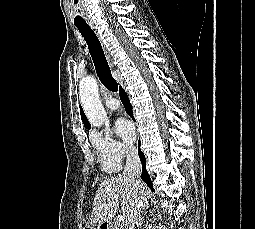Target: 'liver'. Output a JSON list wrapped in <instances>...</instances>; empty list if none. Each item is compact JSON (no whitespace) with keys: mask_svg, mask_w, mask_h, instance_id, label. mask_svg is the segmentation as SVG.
<instances>
[{"mask_svg":"<svg viewBox=\"0 0 255 229\" xmlns=\"http://www.w3.org/2000/svg\"><path fill=\"white\" fill-rule=\"evenodd\" d=\"M140 185L146 195L147 186L143 182H140ZM133 194V184L123 175L104 179L96 191L87 226L109 223L119 209L127 222Z\"/></svg>","mask_w":255,"mask_h":229,"instance_id":"6515ba94","label":"liver"}]
</instances>
